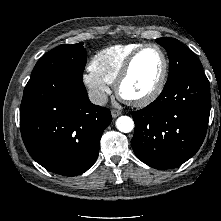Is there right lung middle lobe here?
I'll return each instance as SVG.
<instances>
[{
	"label": "right lung middle lobe",
	"instance_id": "1",
	"mask_svg": "<svg viewBox=\"0 0 221 221\" xmlns=\"http://www.w3.org/2000/svg\"><path fill=\"white\" fill-rule=\"evenodd\" d=\"M85 64L86 50L83 43L63 44L40 58L31 73L30 79L58 82L75 79L82 82Z\"/></svg>",
	"mask_w": 221,
	"mask_h": 221
}]
</instances>
